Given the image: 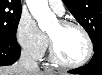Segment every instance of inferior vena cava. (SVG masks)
Segmentation results:
<instances>
[{
    "mask_svg": "<svg viewBox=\"0 0 102 75\" xmlns=\"http://www.w3.org/2000/svg\"><path fill=\"white\" fill-rule=\"evenodd\" d=\"M18 64L26 70L37 71L39 70L38 63L32 59L26 50H22Z\"/></svg>",
    "mask_w": 102,
    "mask_h": 75,
    "instance_id": "inferior-vena-cava-1",
    "label": "inferior vena cava"
}]
</instances>
